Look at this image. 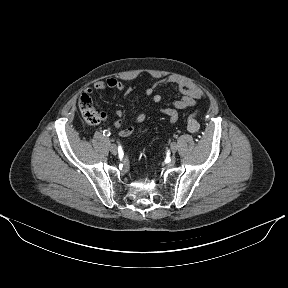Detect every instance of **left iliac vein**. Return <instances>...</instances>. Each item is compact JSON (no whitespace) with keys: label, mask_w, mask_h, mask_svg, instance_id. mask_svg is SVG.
<instances>
[{"label":"left iliac vein","mask_w":288,"mask_h":288,"mask_svg":"<svg viewBox=\"0 0 288 288\" xmlns=\"http://www.w3.org/2000/svg\"><path fill=\"white\" fill-rule=\"evenodd\" d=\"M170 148H171V151H172L173 153H175V152L177 151L178 146H177V144L175 143L174 145H170Z\"/></svg>","instance_id":"obj_1"}]
</instances>
